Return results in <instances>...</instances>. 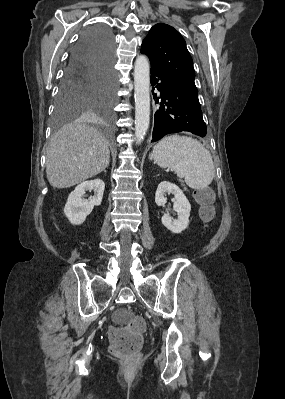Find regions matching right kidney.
Segmentation results:
<instances>
[{
  "mask_svg": "<svg viewBox=\"0 0 285 399\" xmlns=\"http://www.w3.org/2000/svg\"><path fill=\"white\" fill-rule=\"evenodd\" d=\"M105 183L101 179L85 181L79 184L70 193L64 208V213L71 224H82L86 217L92 212L94 206H99L102 202ZM86 191H94V196L89 201L82 197Z\"/></svg>",
  "mask_w": 285,
  "mask_h": 399,
  "instance_id": "obj_1",
  "label": "right kidney"
}]
</instances>
